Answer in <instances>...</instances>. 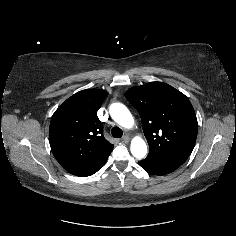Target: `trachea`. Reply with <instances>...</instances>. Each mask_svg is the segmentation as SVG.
I'll return each mask as SVG.
<instances>
[{
    "label": "trachea",
    "mask_w": 236,
    "mask_h": 236,
    "mask_svg": "<svg viewBox=\"0 0 236 236\" xmlns=\"http://www.w3.org/2000/svg\"><path fill=\"white\" fill-rule=\"evenodd\" d=\"M111 134L114 138H121L123 135V131L119 127H113L111 129Z\"/></svg>",
    "instance_id": "obj_1"
}]
</instances>
